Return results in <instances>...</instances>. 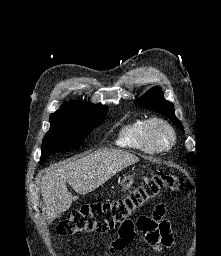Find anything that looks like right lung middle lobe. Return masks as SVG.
<instances>
[{
    "label": "right lung middle lobe",
    "mask_w": 221,
    "mask_h": 256,
    "mask_svg": "<svg viewBox=\"0 0 221 256\" xmlns=\"http://www.w3.org/2000/svg\"><path fill=\"white\" fill-rule=\"evenodd\" d=\"M108 107L88 104L75 113L51 114V126L42 143V163L54 151L80 146L90 131L102 124Z\"/></svg>",
    "instance_id": "right-lung-middle-lobe-1"
}]
</instances>
